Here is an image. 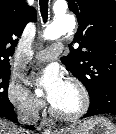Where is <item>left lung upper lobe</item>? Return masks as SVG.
I'll return each mask as SVG.
<instances>
[{"label": "left lung upper lobe", "mask_w": 116, "mask_h": 134, "mask_svg": "<svg viewBox=\"0 0 116 134\" xmlns=\"http://www.w3.org/2000/svg\"><path fill=\"white\" fill-rule=\"evenodd\" d=\"M67 1L79 27L69 44L70 54L61 61L83 82L90 104L116 101V1Z\"/></svg>", "instance_id": "5c2ea615"}]
</instances>
